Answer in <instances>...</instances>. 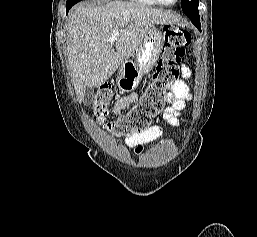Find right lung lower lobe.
I'll return each instance as SVG.
<instances>
[{
	"label": "right lung lower lobe",
	"instance_id": "98d812e1",
	"mask_svg": "<svg viewBox=\"0 0 257 237\" xmlns=\"http://www.w3.org/2000/svg\"><path fill=\"white\" fill-rule=\"evenodd\" d=\"M70 8H71V7H70ZM70 8H66V12H67V13H68V11H69Z\"/></svg>",
	"mask_w": 257,
	"mask_h": 237
}]
</instances>
